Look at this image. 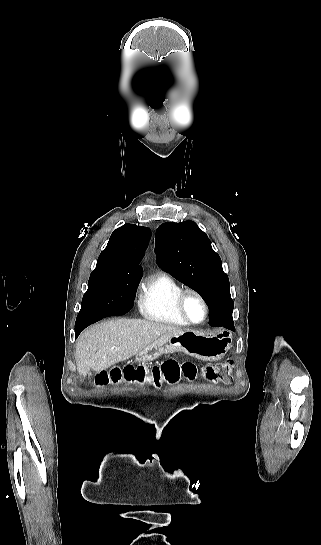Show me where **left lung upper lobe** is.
I'll return each instance as SVG.
<instances>
[{
    "label": "left lung upper lobe",
    "mask_w": 321,
    "mask_h": 545,
    "mask_svg": "<svg viewBox=\"0 0 321 545\" xmlns=\"http://www.w3.org/2000/svg\"><path fill=\"white\" fill-rule=\"evenodd\" d=\"M155 252L161 268L199 293L209 310L232 316L229 279L211 241L195 222L161 224Z\"/></svg>",
    "instance_id": "left-lung-upper-lobe-1"
}]
</instances>
